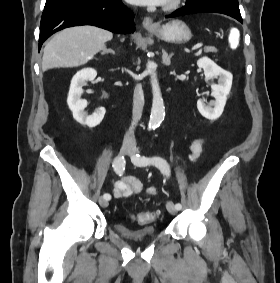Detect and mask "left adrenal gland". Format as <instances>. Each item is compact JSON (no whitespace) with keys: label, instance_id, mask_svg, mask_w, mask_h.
<instances>
[{"label":"left adrenal gland","instance_id":"1","mask_svg":"<svg viewBox=\"0 0 280 283\" xmlns=\"http://www.w3.org/2000/svg\"><path fill=\"white\" fill-rule=\"evenodd\" d=\"M172 56H173V53L168 55V53L165 50H162V60H163L164 65H167V66L170 65Z\"/></svg>","mask_w":280,"mask_h":283}]
</instances>
